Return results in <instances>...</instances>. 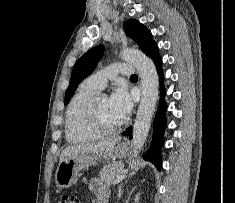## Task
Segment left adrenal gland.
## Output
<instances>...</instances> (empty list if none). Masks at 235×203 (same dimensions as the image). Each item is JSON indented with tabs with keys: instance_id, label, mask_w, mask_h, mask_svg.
<instances>
[{
	"instance_id": "a2214340",
	"label": "left adrenal gland",
	"mask_w": 235,
	"mask_h": 203,
	"mask_svg": "<svg viewBox=\"0 0 235 203\" xmlns=\"http://www.w3.org/2000/svg\"><path fill=\"white\" fill-rule=\"evenodd\" d=\"M122 193H123V190H122V184H121L118 188V198H121Z\"/></svg>"
}]
</instances>
